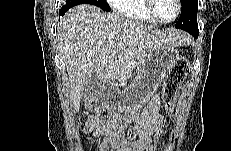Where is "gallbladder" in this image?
I'll use <instances>...</instances> for the list:
<instances>
[{"label":"gallbladder","mask_w":231,"mask_h":151,"mask_svg":"<svg viewBox=\"0 0 231 151\" xmlns=\"http://www.w3.org/2000/svg\"><path fill=\"white\" fill-rule=\"evenodd\" d=\"M100 80L96 73H93L91 77L86 81L81 91V99L85 103H90L94 101L100 90Z\"/></svg>","instance_id":"1"}]
</instances>
